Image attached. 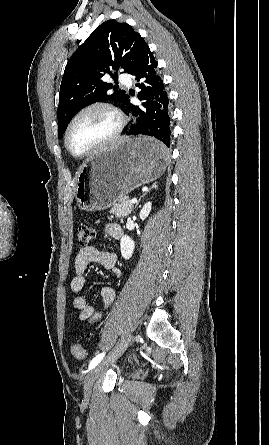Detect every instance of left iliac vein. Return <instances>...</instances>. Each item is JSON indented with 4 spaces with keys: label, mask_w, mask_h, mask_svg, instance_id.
I'll return each mask as SVG.
<instances>
[{
    "label": "left iliac vein",
    "mask_w": 269,
    "mask_h": 445,
    "mask_svg": "<svg viewBox=\"0 0 269 445\" xmlns=\"http://www.w3.org/2000/svg\"><path fill=\"white\" fill-rule=\"evenodd\" d=\"M131 340H132V334H128L127 336L123 337L120 343L113 350V352L104 360L99 362L94 367V369L89 373L84 385V392L86 398L90 397L95 381L99 378V376L108 366L114 363L124 353Z\"/></svg>",
    "instance_id": "obj_1"
}]
</instances>
